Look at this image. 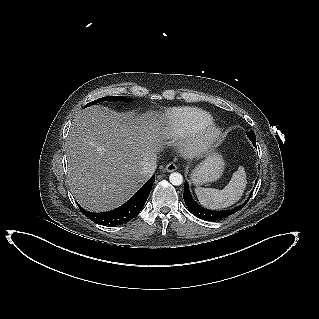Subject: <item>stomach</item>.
Here are the masks:
<instances>
[{"label":"stomach","mask_w":319,"mask_h":319,"mask_svg":"<svg viewBox=\"0 0 319 319\" xmlns=\"http://www.w3.org/2000/svg\"><path fill=\"white\" fill-rule=\"evenodd\" d=\"M225 162L216 153L210 154L191 173V181L195 185L205 184L218 180L223 174Z\"/></svg>","instance_id":"1"}]
</instances>
